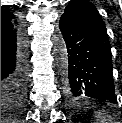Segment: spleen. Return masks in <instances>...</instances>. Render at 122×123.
<instances>
[{"mask_svg":"<svg viewBox=\"0 0 122 123\" xmlns=\"http://www.w3.org/2000/svg\"><path fill=\"white\" fill-rule=\"evenodd\" d=\"M96 117L98 118V120H100L99 121V123H105V121L104 120H102V114L99 112L97 115H96ZM98 122V121H97Z\"/></svg>","mask_w":122,"mask_h":123,"instance_id":"1","label":"spleen"}]
</instances>
